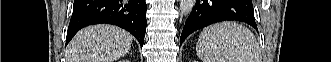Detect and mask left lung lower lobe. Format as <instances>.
I'll return each instance as SVG.
<instances>
[{
	"label": "left lung lower lobe",
	"instance_id": "left-lung-lower-lobe-1",
	"mask_svg": "<svg viewBox=\"0 0 331 62\" xmlns=\"http://www.w3.org/2000/svg\"><path fill=\"white\" fill-rule=\"evenodd\" d=\"M236 20L257 30L251 0H197L186 20L180 44L194 31L216 22Z\"/></svg>",
	"mask_w": 331,
	"mask_h": 62
}]
</instances>
